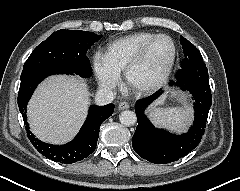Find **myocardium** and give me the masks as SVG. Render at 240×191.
Segmentation results:
<instances>
[{"label": "myocardium", "instance_id": "f54148a6", "mask_svg": "<svg viewBox=\"0 0 240 191\" xmlns=\"http://www.w3.org/2000/svg\"><path fill=\"white\" fill-rule=\"evenodd\" d=\"M160 39H166L168 40L172 45V56L170 59V62L164 72V74L161 76V78L156 81L153 84L150 85H137L132 82V73L136 68H138L142 62L144 61L150 47L158 40ZM177 58V46L173 38H171L169 35L166 34H157L154 37H152L150 40H148L139 50L137 55L133 58V60L127 65V67L124 70V77L125 81L128 84V86L133 89L134 91L140 93V94H149L152 92L157 91L160 89L169 79L172 70L174 68L175 62Z\"/></svg>", "mask_w": 240, "mask_h": 191}]
</instances>
